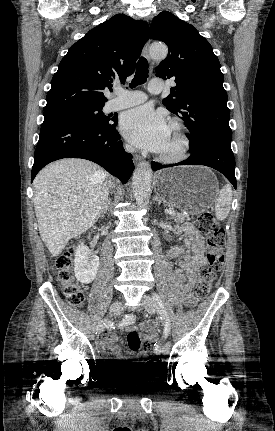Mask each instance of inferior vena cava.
Returning a JSON list of instances; mask_svg holds the SVG:
<instances>
[{
  "mask_svg": "<svg viewBox=\"0 0 275 431\" xmlns=\"http://www.w3.org/2000/svg\"><path fill=\"white\" fill-rule=\"evenodd\" d=\"M126 150L128 151V152H133L134 151V149L132 148V147H130V146H128V145H126ZM110 186H111V183H110Z\"/></svg>",
  "mask_w": 275,
  "mask_h": 431,
  "instance_id": "obj_1",
  "label": "inferior vena cava"
}]
</instances>
